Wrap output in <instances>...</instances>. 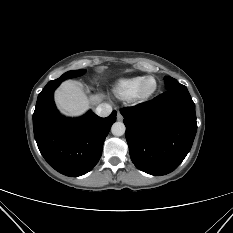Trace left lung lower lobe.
Here are the masks:
<instances>
[{
	"mask_svg": "<svg viewBox=\"0 0 233 233\" xmlns=\"http://www.w3.org/2000/svg\"><path fill=\"white\" fill-rule=\"evenodd\" d=\"M120 112L130 157L138 169L159 176L181 164L197 130L195 104L186 86Z\"/></svg>",
	"mask_w": 233,
	"mask_h": 233,
	"instance_id": "left-lung-lower-lobe-1",
	"label": "left lung lower lobe"
}]
</instances>
